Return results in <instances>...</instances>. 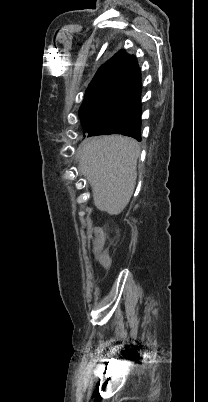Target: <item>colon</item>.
Here are the masks:
<instances>
[{
    "instance_id": "1",
    "label": "colon",
    "mask_w": 208,
    "mask_h": 402,
    "mask_svg": "<svg viewBox=\"0 0 208 402\" xmlns=\"http://www.w3.org/2000/svg\"><path fill=\"white\" fill-rule=\"evenodd\" d=\"M94 248H99V245H103L105 242V239L101 234H95V239H94ZM98 256L100 259H103L102 263V268H107V264L110 263V258L109 253L107 250H100L98 253Z\"/></svg>"
}]
</instances>
